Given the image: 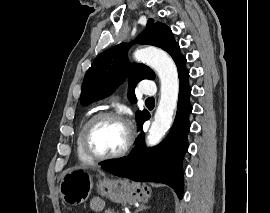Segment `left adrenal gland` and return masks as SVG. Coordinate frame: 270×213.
Listing matches in <instances>:
<instances>
[{
  "mask_svg": "<svg viewBox=\"0 0 270 213\" xmlns=\"http://www.w3.org/2000/svg\"><path fill=\"white\" fill-rule=\"evenodd\" d=\"M148 207L145 206V204H142L134 213H138L139 211H143L145 209H147Z\"/></svg>",
  "mask_w": 270,
  "mask_h": 213,
  "instance_id": "obj_1",
  "label": "left adrenal gland"
}]
</instances>
